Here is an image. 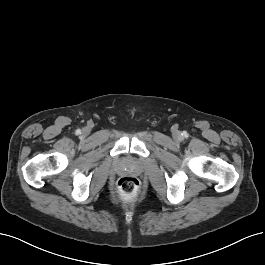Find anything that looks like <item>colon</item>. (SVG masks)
<instances>
[{"label": "colon", "mask_w": 265, "mask_h": 265, "mask_svg": "<svg viewBox=\"0 0 265 265\" xmlns=\"http://www.w3.org/2000/svg\"><path fill=\"white\" fill-rule=\"evenodd\" d=\"M120 192L128 197H134L139 191V182L135 177L124 176L118 181Z\"/></svg>", "instance_id": "obj_1"}]
</instances>
